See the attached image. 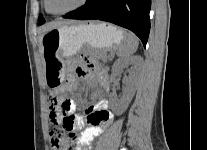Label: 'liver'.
I'll return each instance as SVG.
<instances>
[{"label": "liver", "mask_w": 207, "mask_h": 150, "mask_svg": "<svg viewBox=\"0 0 207 150\" xmlns=\"http://www.w3.org/2000/svg\"><path fill=\"white\" fill-rule=\"evenodd\" d=\"M76 21L74 20H56V21H53V22H50V23H47V24H44L41 28H40V37H39V41H40V45L42 44V37L43 35L48 32L49 30L51 29H54V28H58L62 25H65V24H71V23H75Z\"/></svg>", "instance_id": "liver-1"}]
</instances>
